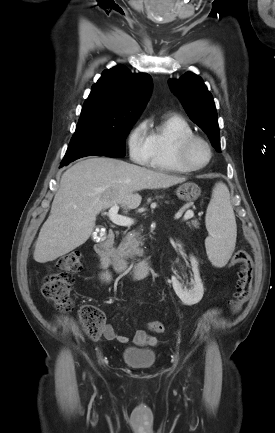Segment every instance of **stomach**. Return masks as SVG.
<instances>
[{"instance_id": "stomach-1", "label": "stomach", "mask_w": 275, "mask_h": 433, "mask_svg": "<svg viewBox=\"0 0 275 433\" xmlns=\"http://www.w3.org/2000/svg\"><path fill=\"white\" fill-rule=\"evenodd\" d=\"M201 194L200 187L192 182L180 185L176 190V195L183 201H195Z\"/></svg>"}]
</instances>
